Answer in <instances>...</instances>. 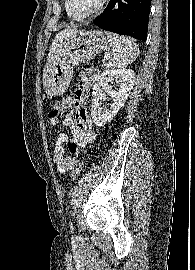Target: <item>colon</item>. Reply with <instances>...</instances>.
<instances>
[{
	"label": "colon",
	"instance_id": "5ec220e1",
	"mask_svg": "<svg viewBox=\"0 0 195 270\" xmlns=\"http://www.w3.org/2000/svg\"><path fill=\"white\" fill-rule=\"evenodd\" d=\"M65 110V106L62 101H57L53 103L48 110L49 118H57L61 115V113ZM84 167L83 161H79L73 169V178L77 179Z\"/></svg>",
	"mask_w": 195,
	"mask_h": 270
}]
</instances>
